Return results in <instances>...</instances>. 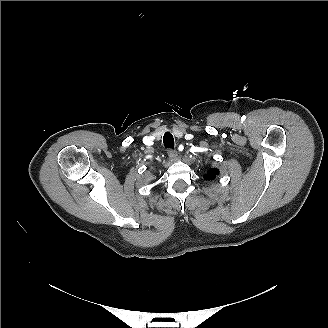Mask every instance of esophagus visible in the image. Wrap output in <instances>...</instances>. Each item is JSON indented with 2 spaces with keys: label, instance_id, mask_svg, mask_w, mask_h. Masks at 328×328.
Segmentation results:
<instances>
[{
  "label": "esophagus",
  "instance_id": "1",
  "mask_svg": "<svg viewBox=\"0 0 328 328\" xmlns=\"http://www.w3.org/2000/svg\"><path fill=\"white\" fill-rule=\"evenodd\" d=\"M168 156L171 160H176L178 157V153L176 150H169L168 151Z\"/></svg>",
  "mask_w": 328,
  "mask_h": 328
}]
</instances>
